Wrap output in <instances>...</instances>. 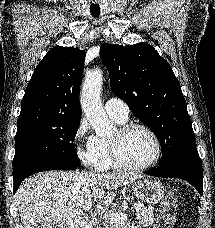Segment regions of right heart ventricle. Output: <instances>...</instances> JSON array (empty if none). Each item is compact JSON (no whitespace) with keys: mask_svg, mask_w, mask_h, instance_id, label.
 <instances>
[{"mask_svg":"<svg viewBox=\"0 0 215 228\" xmlns=\"http://www.w3.org/2000/svg\"><path fill=\"white\" fill-rule=\"evenodd\" d=\"M111 118L119 125L126 123L128 120H122L112 115ZM91 164L99 171H106L114 166L110 154V140L108 138L96 137L95 155Z\"/></svg>","mask_w":215,"mask_h":228,"instance_id":"right-heart-ventricle-1","label":"right heart ventricle"}]
</instances>
